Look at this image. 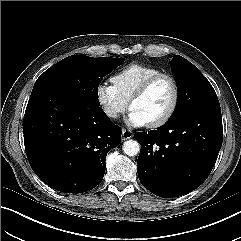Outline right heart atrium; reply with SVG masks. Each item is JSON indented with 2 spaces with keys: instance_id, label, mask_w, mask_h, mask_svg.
<instances>
[{
  "instance_id": "1",
  "label": "right heart atrium",
  "mask_w": 241,
  "mask_h": 241,
  "mask_svg": "<svg viewBox=\"0 0 241 241\" xmlns=\"http://www.w3.org/2000/svg\"><path fill=\"white\" fill-rule=\"evenodd\" d=\"M98 105L111 120L119 118L127 109L128 102L120 95L113 84L102 82L95 89Z\"/></svg>"
}]
</instances>
